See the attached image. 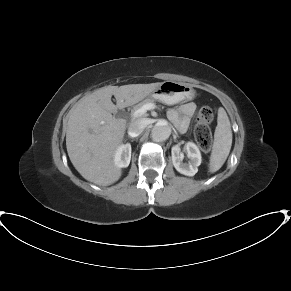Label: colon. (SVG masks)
I'll return each mask as SVG.
<instances>
[{"instance_id": "1", "label": "colon", "mask_w": 291, "mask_h": 291, "mask_svg": "<svg viewBox=\"0 0 291 291\" xmlns=\"http://www.w3.org/2000/svg\"><path fill=\"white\" fill-rule=\"evenodd\" d=\"M214 113L208 106L202 107L195 120L194 139L196 143L205 151L211 148L212 135L208 125L213 121Z\"/></svg>"}]
</instances>
